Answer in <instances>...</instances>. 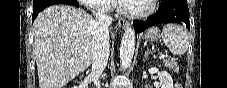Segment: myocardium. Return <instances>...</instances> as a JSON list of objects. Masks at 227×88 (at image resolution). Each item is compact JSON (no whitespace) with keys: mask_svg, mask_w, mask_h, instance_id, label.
Listing matches in <instances>:
<instances>
[{"mask_svg":"<svg viewBox=\"0 0 227 88\" xmlns=\"http://www.w3.org/2000/svg\"><path fill=\"white\" fill-rule=\"evenodd\" d=\"M147 1H148L149 6L146 10L137 11V10L127 9L124 5H120L118 8V11H119V13H121L129 18H133V19L145 18L154 12L156 2H157V0H147Z\"/></svg>","mask_w":227,"mask_h":88,"instance_id":"obj_1","label":"myocardium"}]
</instances>
